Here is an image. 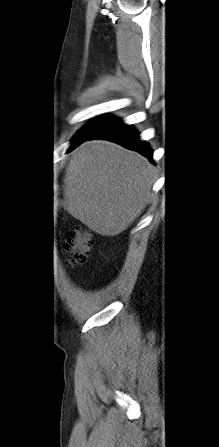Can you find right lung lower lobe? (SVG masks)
Wrapping results in <instances>:
<instances>
[{
	"mask_svg": "<svg viewBox=\"0 0 219 447\" xmlns=\"http://www.w3.org/2000/svg\"><path fill=\"white\" fill-rule=\"evenodd\" d=\"M90 139H107L110 141H114L128 149L138 151L139 153L147 157L150 161H153L152 151L148 144L140 140L139 134L131 125H126L120 120H115L110 125L106 126L94 135L86 137L72 144L70 150H72L82 142Z\"/></svg>",
	"mask_w": 219,
	"mask_h": 447,
	"instance_id": "98d812e1",
	"label": "right lung lower lobe"
}]
</instances>
